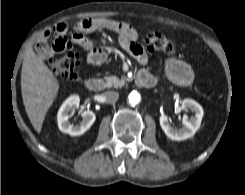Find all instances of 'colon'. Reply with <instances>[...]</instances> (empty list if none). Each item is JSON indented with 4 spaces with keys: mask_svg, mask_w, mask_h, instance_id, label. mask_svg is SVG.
<instances>
[{
    "mask_svg": "<svg viewBox=\"0 0 245 195\" xmlns=\"http://www.w3.org/2000/svg\"><path fill=\"white\" fill-rule=\"evenodd\" d=\"M144 43L151 51H161L167 54H173L176 51V47L172 41L158 31L148 33L144 39ZM80 65L81 58L74 52H68L49 61V67L55 76L69 80L78 78Z\"/></svg>",
    "mask_w": 245,
    "mask_h": 195,
    "instance_id": "5ec220e1",
    "label": "colon"
}]
</instances>
